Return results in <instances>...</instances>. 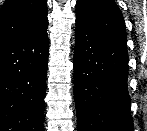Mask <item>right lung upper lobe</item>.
<instances>
[{
	"mask_svg": "<svg viewBox=\"0 0 147 131\" xmlns=\"http://www.w3.org/2000/svg\"><path fill=\"white\" fill-rule=\"evenodd\" d=\"M48 26L46 0H6L0 8V45Z\"/></svg>",
	"mask_w": 147,
	"mask_h": 131,
	"instance_id": "right-lung-upper-lobe-1",
	"label": "right lung upper lobe"
}]
</instances>
